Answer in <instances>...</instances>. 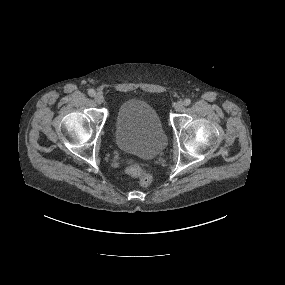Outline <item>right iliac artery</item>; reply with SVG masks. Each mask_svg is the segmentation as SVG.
Instances as JSON below:
<instances>
[{"label": "right iliac artery", "mask_w": 285, "mask_h": 285, "mask_svg": "<svg viewBox=\"0 0 285 285\" xmlns=\"http://www.w3.org/2000/svg\"><path fill=\"white\" fill-rule=\"evenodd\" d=\"M88 94H89L91 97H93V96H95L96 92H95L94 89H90V90L88 91Z\"/></svg>", "instance_id": "obj_1"}]
</instances>
